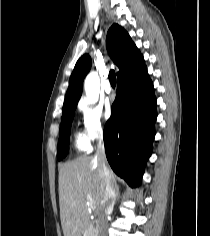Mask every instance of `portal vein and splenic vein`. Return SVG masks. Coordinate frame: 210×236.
Segmentation results:
<instances>
[{
    "mask_svg": "<svg viewBox=\"0 0 210 236\" xmlns=\"http://www.w3.org/2000/svg\"><path fill=\"white\" fill-rule=\"evenodd\" d=\"M90 207L93 209L95 208L94 204L93 203H90Z\"/></svg>",
    "mask_w": 210,
    "mask_h": 236,
    "instance_id": "obj_1",
    "label": "portal vein and splenic vein"
}]
</instances>
